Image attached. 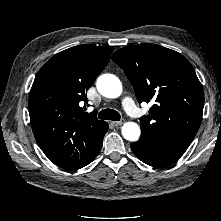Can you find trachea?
<instances>
[{
  "instance_id": "3493384b",
  "label": "trachea",
  "mask_w": 221,
  "mask_h": 221,
  "mask_svg": "<svg viewBox=\"0 0 221 221\" xmlns=\"http://www.w3.org/2000/svg\"><path fill=\"white\" fill-rule=\"evenodd\" d=\"M98 117L104 120H112V121L120 120V114L113 109H104L100 111V113L98 114Z\"/></svg>"
}]
</instances>
